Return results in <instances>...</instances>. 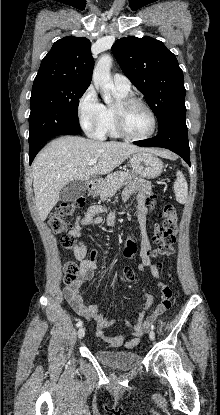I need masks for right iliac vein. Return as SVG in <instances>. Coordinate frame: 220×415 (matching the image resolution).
I'll use <instances>...</instances> for the list:
<instances>
[{
	"label": "right iliac vein",
	"mask_w": 220,
	"mask_h": 415,
	"mask_svg": "<svg viewBox=\"0 0 220 415\" xmlns=\"http://www.w3.org/2000/svg\"><path fill=\"white\" fill-rule=\"evenodd\" d=\"M85 335V329L83 327L79 328L78 330V337L81 339Z\"/></svg>",
	"instance_id": "right-iliac-vein-1"
}]
</instances>
